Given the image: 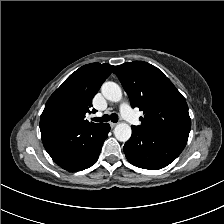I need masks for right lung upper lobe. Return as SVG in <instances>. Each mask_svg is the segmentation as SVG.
I'll list each match as a JSON object with an SVG mask.
<instances>
[{
    "mask_svg": "<svg viewBox=\"0 0 224 224\" xmlns=\"http://www.w3.org/2000/svg\"><path fill=\"white\" fill-rule=\"evenodd\" d=\"M113 68L114 66L106 63H91L76 70L50 96L41 119H45L50 111L59 109L67 123L80 126L96 125L85 120V114L91 112L92 99ZM95 111L93 109V112Z\"/></svg>",
    "mask_w": 224,
    "mask_h": 224,
    "instance_id": "1",
    "label": "right lung upper lobe"
}]
</instances>
